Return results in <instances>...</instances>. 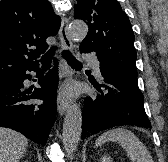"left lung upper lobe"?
Returning a JSON list of instances; mask_svg holds the SVG:
<instances>
[{"label": "left lung upper lobe", "mask_w": 168, "mask_h": 162, "mask_svg": "<svg viewBox=\"0 0 168 162\" xmlns=\"http://www.w3.org/2000/svg\"><path fill=\"white\" fill-rule=\"evenodd\" d=\"M74 7V18L89 27L80 51H94L99 61L138 76L134 33L118 1L77 0Z\"/></svg>", "instance_id": "5c2ea615"}]
</instances>
